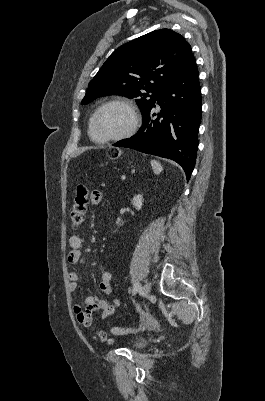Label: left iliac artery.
<instances>
[{"label":"left iliac artery","mask_w":265,"mask_h":401,"mask_svg":"<svg viewBox=\"0 0 265 401\" xmlns=\"http://www.w3.org/2000/svg\"><path fill=\"white\" fill-rule=\"evenodd\" d=\"M141 289V285L139 283L134 284L133 294L135 295L137 291Z\"/></svg>","instance_id":"obj_1"}]
</instances>
